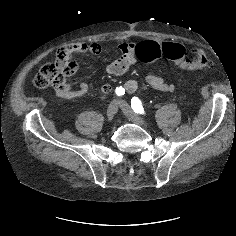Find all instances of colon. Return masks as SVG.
<instances>
[{
	"mask_svg": "<svg viewBox=\"0 0 236 236\" xmlns=\"http://www.w3.org/2000/svg\"><path fill=\"white\" fill-rule=\"evenodd\" d=\"M186 54L187 50L182 44L173 42H163L161 45L141 43L136 49L137 58L144 63H152L164 56L185 70H199L209 65V61L201 49L195 50L192 58H187ZM71 63V55L63 48L60 49L54 62L41 67L34 77L33 85L42 89L60 84L68 74Z\"/></svg>",
	"mask_w": 236,
	"mask_h": 236,
	"instance_id": "colon-1",
	"label": "colon"
}]
</instances>
